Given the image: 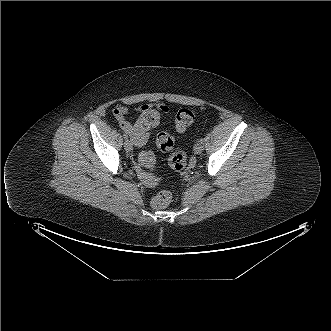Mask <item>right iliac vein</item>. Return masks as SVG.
Returning a JSON list of instances; mask_svg holds the SVG:
<instances>
[{"instance_id": "1", "label": "right iliac vein", "mask_w": 331, "mask_h": 331, "mask_svg": "<svg viewBox=\"0 0 331 331\" xmlns=\"http://www.w3.org/2000/svg\"><path fill=\"white\" fill-rule=\"evenodd\" d=\"M124 148L126 151H131L133 149L132 143L129 140L124 142Z\"/></svg>"}]
</instances>
